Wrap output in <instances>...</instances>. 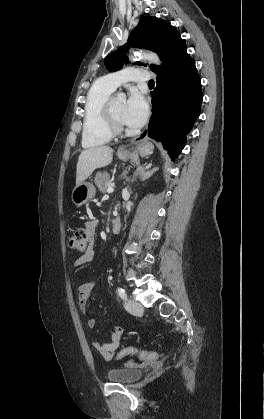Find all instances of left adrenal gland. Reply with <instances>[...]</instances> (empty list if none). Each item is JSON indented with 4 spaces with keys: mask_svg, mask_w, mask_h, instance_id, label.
<instances>
[{
    "mask_svg": "<svg viewBox=\"0 0 264 419\" xmlns=\"http://www.w3.org/2000/svg\"><path fill=\"white\" fill-rule=\"evenodd\" d=\"M155 171H156L155 169H152V170H147V171H143V172L140 174V178H141V180H145V179H147L148 177H150L151 175H153ZM136 176H137V175H136ZM136 176H135V178H136Z\"/></svg>",
    "mask_w": 264,
    "mask_h": 419,
    "instance_id": "left-adrenal-gland-1",
    "label": "left adrenal gland"
}]
</instances>
